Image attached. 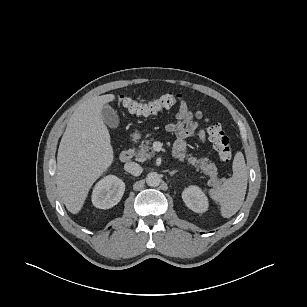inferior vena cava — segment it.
I'll return each instance as SVG.
<instances>
[{
	"label": "inferior vena cava",
	"instance_id": "602c4592",
	"mask_svg": "<svg viewBox=\"0 0 307 307\" xmlns=\"http://www.w3.org/2000/svg\"><path fill=\"white\" fill-rule=\"evenodd\" d=\"M124 169L134 176H139L143 171L142 167L135 162H127L124 165Z\"/></svg>",
	"mask_w": 307,
	"mask_h": 307
}]
</instances>
